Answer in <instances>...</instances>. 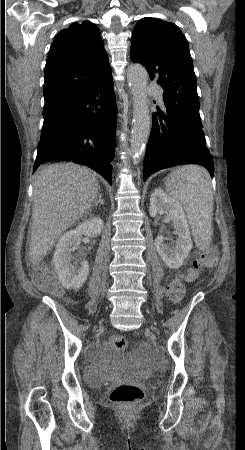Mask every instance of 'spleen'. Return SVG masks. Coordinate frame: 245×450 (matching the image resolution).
Masks as SVG:
<instances>
[{
  "mask_svg": "<svg viewBox=\"0 0 245 450\" xmlns=\"http://www.w3.org/2000/svg\"><path fill=\"white\" fill-rule=\"evenodd\" d=\"M165 188L185 209L194 241L205 250L213 234L214 198L208 171L199 165L179 167L168 175Z\"/></svg>",
  "mask_w": 245,
  "mask_h": 450,
  "instance_id": "1",
  "label": "spleen"
}]
</instances>
